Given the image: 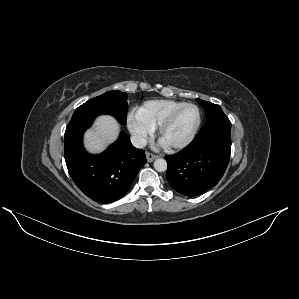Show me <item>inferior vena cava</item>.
Returning <instances> with one entry per match:
<instances>
[{
    "instance_id": "obj_1",
    "label": "inferior vena cava",
    "mask_w": 299,
    "mask_h": 299,
    "mask_svg": "<svg viewBox=\"0 0 299 299\" xmlns=\"http://www.w3.org/2000/svg\"><path fill=\"white\" fill-rule=\"evenodd\" d=\"M131 143L136 148H143L146 145V139L140 135H133L131 136Z\"/></svg>"
}]
</instances>
